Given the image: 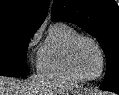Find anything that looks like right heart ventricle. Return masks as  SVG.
<instances>
[{
  "mask_svg": "<svg viewBox=\"0 0 119 95\" xmlns=\"http://www.w3.org/2000/svg\"><path fill=\"white\" fill-rule=\"evenodd\" d=\"M79 35L75 28L65 22L52 23L38 52L37 72L50 78L82 81L72 71L68 62L70 44Z\"/></svg>",
  "mask_w": 119,
  "mask_h": 95,
  "instance_id": "e07e8e85",
  "label": "right heart ventricle"
}]
</instances>
